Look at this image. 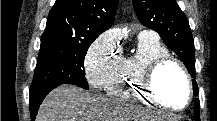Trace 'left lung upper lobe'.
<instances>
[{
    "instance_id": "left-lung-upper-lobe-1",
    "label": "left lung upper lobe",
    "mask_w": 217,
    "mask_h": 121,
    "mask_svg": "<svg viewBox=\"0 0 217 121\" xmlns=\"http://www.w3.org/2000/svg\"><path fill=\"white\" fill-rule=\"evenodd\" d=\"M139 21L159 33L164 43L183 61L195 79V47L188 19L176 0H133ZM194 94L198 86L193 80ZM200 103H195V118L200 120Z\"/></svg>"
}]
</instances>
